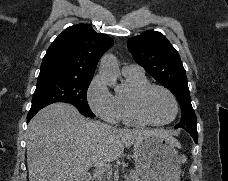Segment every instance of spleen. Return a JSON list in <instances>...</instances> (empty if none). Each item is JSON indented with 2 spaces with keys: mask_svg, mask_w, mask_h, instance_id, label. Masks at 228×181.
Instances as JSON below:
<instances>
[{
  "mask_svg": "<svg viewBox=\"0 0 228 181\" xmlns=\"http://www.w3.org/2000/svg\"><path fill=\"white\" fill-rule=\"evenodd\" d=\"M181 161H182V163H185V161H187V159H186L185 155H182V157H181Z\"/></svg>",
  "mask_w": 228,
  "mask_h": 181,
  "instance_id": "3e777b00",
  "label": "spleen"
}]
</instances>
